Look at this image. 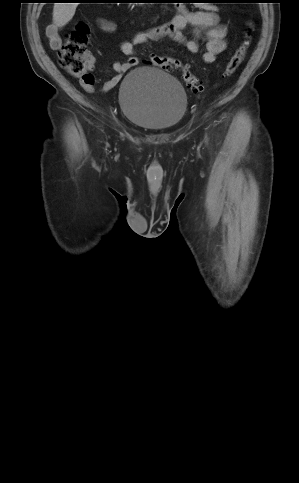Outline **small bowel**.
I'll return each instance as SVG.
<instances>
[{
  "label": "small bowel",
  "mask_w": 299,
  "mask_h": 483,
  "mask_svg": "<svg viewBox=\"0 0 299 483\" xmlns=\"http://www.w3.org/2000/svg\"><path fill=\"white\" fill-rule=\"evenodd\" d=\"M98 26L102 31L108 33L116 29L115 23L106 20H100ZM188 28H191V36L186 34ZM46 33L50 46L53 49H58L62 43L58 27L50 24ZM226 35L227 27L218 22L217 7L212 6L208 9L190 11L184 5H180L171 21L138 32L131 41L121 43L120 50L128 58L124 62L117 61L113 64L115 75L105 83L104 90L115 87L127 71L137 66L139 62L136 55L138 47L147 44L149 41L168 38L185 46L191 53H197L199 41L203 39L205 41L202 54L203 61L206 64H213L216 62L218 55L227 47ZM87 63L88 69L93 70L95 58L91 53L87 54Z\"/></svg>",
  "instance_id": "small-bowel-1"
}]
</instances>
